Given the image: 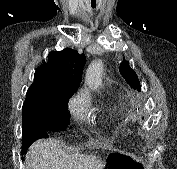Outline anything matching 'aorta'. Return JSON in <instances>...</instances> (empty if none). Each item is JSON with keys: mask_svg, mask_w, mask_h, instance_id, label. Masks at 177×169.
<instances>
[{"mask_svg": "<svg viewBox=\"0 0 177 169\" xmlns=\"http://www.w3.org/2000/svg\"><path fill=\"white\" fill-rule=\"evenodd\" d=\"M103 63L95 60L90 63L86 70L85 83L91 90H98L102 86Z\"/></svg>", "mask_w": 177, "mask_h": 169, "instance_id": "1", "label": "aorta"}]
</instances>
